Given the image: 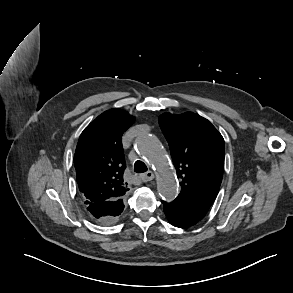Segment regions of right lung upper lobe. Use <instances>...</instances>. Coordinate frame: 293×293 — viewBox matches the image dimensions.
<instances>
[{"label": "right lung upper lobe", "mask_w": 293, "mask_h": 293, "mask_svg": "<svg viewBox=\"0 0 293 293\" xmlns=\"http://www.w3.org/2000/svg\"><path fill=\"white\" fill-rule=\"evenodd\" d=\"M135 118L124 110L105 111L80 135L74 164L85 204L116 201L128 190L121 137Z\"/></svg>", "instance_id": "1"}]
</instances>
